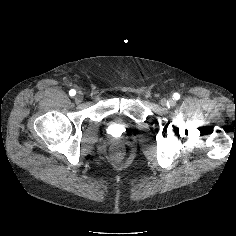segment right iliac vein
<instances>
[{
	"label": "right iliac vein",
	"mask_w": 236,
	"mask_h": 236,
	"mask_svg": "<svg viewBox=\"0 0 236 236\" xmlns=\"http://www.w3.org/2000/svg\"><path fill=\"white\" fill-rule=\"evenodd\" d=\"M82 100H83V93L79 91L75 96V101L77 103H80Z\"/></svg>",
	"instance_id": "obj_1"
}]
</instances>
